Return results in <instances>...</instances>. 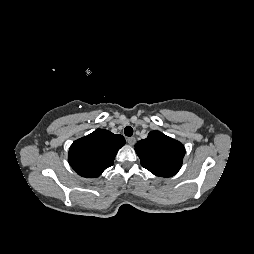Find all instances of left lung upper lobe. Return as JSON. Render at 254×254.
I'll use <instances>...</instances> for the list:
<instances>
[{"label":"left lung upper lobe","instance_id":"5c2ea615","mask_svg":"<svg viewBox=\"0 0 254 254\" xmlns=\"http://www.w3.org/2000/svg\"><path fill=\"white\" fill-rule=\"evenodd\" d=\"M135 150L141 165L160 177L175 175L185 155V148L179 141L159 131H151L146 139L138 141Z\"/></svg>","mask_w":254,"mask_h":254}]
</instances>
